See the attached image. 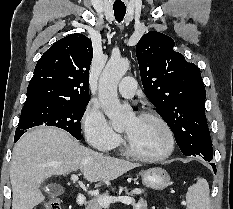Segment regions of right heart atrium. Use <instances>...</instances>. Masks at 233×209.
I'll return each instance as SVG.
<instances>
[{"mask_svg": "<svg viewBox=\"0 0 233 209\" xmlns=\"http://www.w3.org/2000/svg\"><path fill=\"white\" fill-rule=\"evenodd\" d=\"M81 123L85 138L94 149L110 151L120 144L121 137L110 127L97 103L92 101L86 106Z\"/></svg>", "mask_w": 233, "mask_h": 209, "instance_id": "1", "label": "right heart atrium"}]
</instances>
